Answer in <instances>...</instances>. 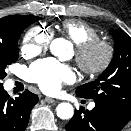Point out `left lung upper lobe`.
I'll return each mask as SVG.
<instances>
[{"label": "left lung upper lobe", "instance_id": "left-lung-upper-lobe-1", "mask_svg": "<svg viewBox=\"0 0 131 131\" xmlns=\"http://www.w3.org/2000/svg\"><path fill=\"white\" fill-rule=\"evenodd\" d=\"M114 56L107 69L93 82L76 90L82 98L113 109L122 118L131 119V38L122 30L113 32Z\"/></svg>", "mask_w": 131, "mask_h": 131}]
</instances>
